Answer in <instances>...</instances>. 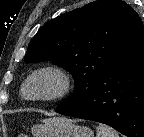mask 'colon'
I'll return each instance as SVG.
<instances>
[{
    "instance_id": "obj_1",
    "label": "colon",
    "mask_w": 144,
    "mask_h": 137,
    "mask_svg": "<svg viewBox=\"0 0 144 137\" xmlns=\"http://www.w3.org/2000/svg\"><path fill=\"white\" fill-rule=\"evenodd\" d=\"M19 137H26L25 135H19Z\"/></svg>"
}]
</instances>
